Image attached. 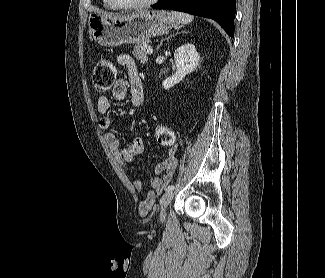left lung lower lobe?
Listing matches in <instances>:
<instances>
[{
	"instance_id": "1",
	"label": "left lung lower lobe",
	"mask_w": 325,
	"mask_h": 278,
	"mask_svg": "<svg viewBox=\"0 0 325 278\" xmlns=\"http://www.w3.org/2000/svg\"><path fill=\"white\" fill-rule=\"evenodd\" d=\"M155 9H170L218 22L226 33L234 37L236 0H160L152 5Z\"/></svg>"
}]
</instances>
